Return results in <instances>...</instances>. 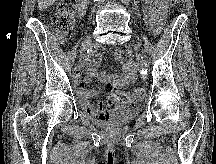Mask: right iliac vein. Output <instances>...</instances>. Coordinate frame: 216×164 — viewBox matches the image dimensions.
I'll list each match as a JSON object with an SVG mask.
<instances>
[{"label": "right iliac vein", "mask_w": 216, "mask_h": 164, "mask_svg": "<svg viewBox=\"0 0 216 164\" xmlns=\"http://www.w3.org/2000/svg\"><path fill=\"white\" fill-rule=\"evenodd\" d=\"M90 45H91V40H90V39H87V40L84 42L83 46H82L81 58L84 57V55H85V53H86V51H87V49L89 48Z\"/></svg>", "instance_id": "right-iliac-vein-1"}]
</instances>
